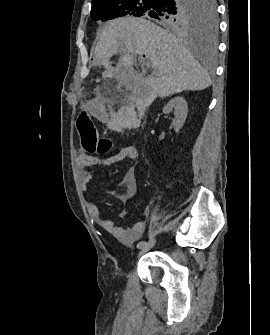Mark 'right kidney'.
<instances>
[{"label": "right kidney", "mask_w": 270, "mask_h": 335, "mask_svg": "<svg viewBox=\"0 0 270 335\" xmlns=\"http://www.w3.org/2000/svg\"><path fill=\"white\" fill-rule=\"evenodd\" d=\"M170 112H174L175 118L172 120V126L175 132H179L181 130L188 114V106L186 100L182 98V96H176V98H172L166 106L163 108V114H170Z\"/></svg>", "instance_id": "1"}]
</instances>
